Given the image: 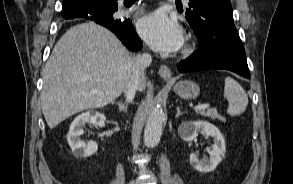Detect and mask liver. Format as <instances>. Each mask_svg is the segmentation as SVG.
Instances as JSON below:
<instances>
[{
    "instance_id": "1",
    "label": "liver",
    "mask_w": 293,
    "mask_h": 184,
    "mask_svg": "<svg viewBox=\"0 0 293 184\" xmlns=\"http://www.w3.org/2000/svg\"><path fill=\"white\" fill-rule=\"evenodd\" d=\"M133 59L111 31L96 23L68 29L43 69L41 107L48 127L115 101L132 77ZM144 89L145 81L139 90Z\"/></svg>"
}]
</instances>
